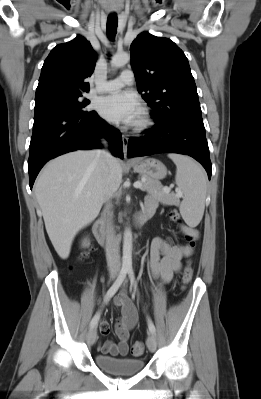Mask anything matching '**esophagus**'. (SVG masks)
Returning a JSON list of instances; mask_svg holds the SVG:
<instances>
[{"label":"esophagus","mask_w":261,"mask_h":399,"mask_svg":"<svg viewBox=\"0 0 261 399\" xmlns=\"http://www.w3.org/2000/svg\"><path fill=\"white\" fill-rule=\"evenodd\" d=\"M128 140V137L125 134H122L123 152L125 157H127L128 152Z\"/></svg>","instance_id":"1"}]
</instances>
